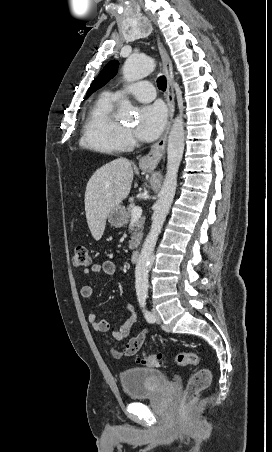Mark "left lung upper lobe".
Returning <instances> with one entry per match:
<instances>
[{
    "mask_svg": "<svg viewBox=\"0 0 272 452\" xmlns=\"http://www.w3.org/2000/svg\"><path fill=\"white\" fill-rule=\"evenodd\" d=\"M118 65H119V63L116 60H112V61L108 62L105 65V67L102 69L100 74L92 82L90 88L88 89L86 97H88L96 89L104 86L110 79H112L117 72Z\"/></svg>",
    "mask_w": 272,
    "mask_h": 452,
    "instance_id": "5c2ea615",
    "label": "left lung upper lobe"
}]
</instances>
